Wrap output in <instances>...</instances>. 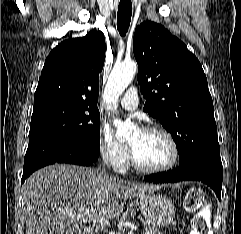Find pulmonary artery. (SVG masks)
Listing matches in <instances>:
<instances>
[{"instance_id": "pulmonary-artery-1", "label": "pulmonary artery", "mask_w": 241, "mask_h": 234, "mask_svg": "<svg viewBox=\"0 0 241 234\" xmlns=\"http://www.w3.org/2000/svg\"><path fill=\"white\" fill-rule=\"evenodd\" d=\"M138 103L139 97L135 87H130L120 100V105L126 110H135Z\"/></svg>"}]
</instances>
